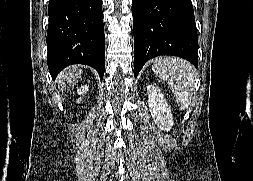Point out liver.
I'll list each match as a JSON object with an SVG mask.
<instances>
[{
    "mask_svg": "<svg viewBox=\"0 0 253 181\" xmlns=\"http://www.w3.org/2000/svg\"><path fill=\"white\" fill-rule=\"evenodd\" d=\"M83 71L77 66L63 70L59 75V82L62 84L63 89H68L74 81L81 78Z\"/></svg>",
    "mask_w": 253,
    "mask_h": 181,
    "instance_id": "liver-1",
    "label": "liver"
}]
</instances>
